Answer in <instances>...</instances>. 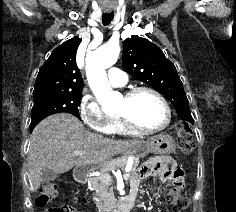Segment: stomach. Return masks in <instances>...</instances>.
I'll use <instances>...</instances> for the list:
<instances>
[{
	"label": "stomach",
	"mask_w": 236,
	"mask_h": 212,
	"mask_svg": "<svg viewBox=\"0 0 236 212\" xmlns=\"http://www.w3.org/2000/svg\"><path fill=\"white\" fill-rule=\"evenodd\" d=\"M175 150V141L168 134L161 133L143 141L141 144L134 146L126 154L133 156L135 159L145 157L149 153L167 155Z\"/></svg>",
	"instance_id": "obj_1"
}]
</instances>
